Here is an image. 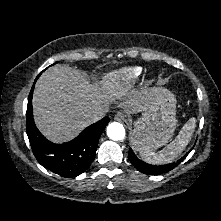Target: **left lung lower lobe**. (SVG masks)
<instances>
[{"instance_id":"obj_1","label":"left lung lower lobe","mask_w":221,"mask_h":221,"mask_svg":"<svg viewBox=\"0 0 221 221\" xmlns=\"http://www.w3.org/2000/svg\"><path fill=\"white\" fill-rule=\"evenodd\" d=\"M188 153L184 157L179 159L177 162H173V163L166 164V165H159V166L150 165V164H147V163L141 161L140 159H138L136 157V155L134 154L132 149H129L128 158H129L130 162L134 165V167L136 169H138L140 172H142L144 174L159 175V174L168 172V171L174 169L176 166H178L186 158ZM154 168H159V170L158 171L154 170Z\"/></svg>"}]
</instances>
